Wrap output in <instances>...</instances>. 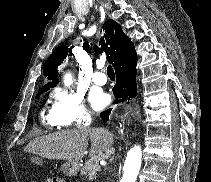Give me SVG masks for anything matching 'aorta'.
I'll return each instance as SVG.
<instances>
[{"label": "aorta", "mask_w": 211, "mask_h": 182, "mask_svg": "<svg viewBox=\"0 0 211 182\" xmlns=\"http://www.w3.org/2000/svg\"><path fill=\"white\" fill-rule=\"evenodd\" d=\"M72 83L71 74L64 76V84L69 86ZM142 160V151L140 146H133L127 153L123 168V177L120 182H136Z\"/></svg>", "instance_id": "762f6f07"}]
</instances>
